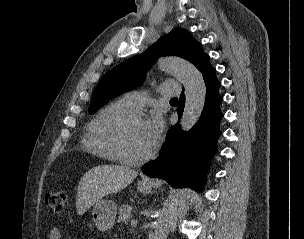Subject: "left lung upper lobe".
I'll list each match as a JSON object with an SVG mask.
<instances>
[{
	"label": "left lung upper lobe",
	"instance_id": "left-lung-upper-lobe-1",
	"mask_svg": "<svg viewBox=\"0 0 304 239\" xmlns=\"http://www.w3.org/2000/svg\"><path fill=\"white\" fill-rule=\"evenodd\" d=\"M182 57L198 69L208 56L189 31L176 28L160 37L145 52L114 67L96 87L89 106L94 113L112 98L138 87L144 81L145 71L161 56Z\"/></svg>",
	"mask_w": 304,
	"mask_h": 239
}]
</instances>
